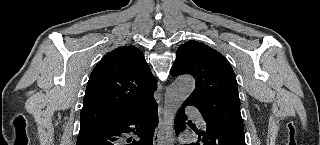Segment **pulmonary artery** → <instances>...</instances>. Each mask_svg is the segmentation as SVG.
<instances>
[{
	"instance_id": "obj_1",
	"label": "pulmonary artery",
	"mask_w": 320,
	"mask_h": 145,
	"mask_svg": "<svg viewBox=\"0 0 320 145\" xmlns=\"http://www.w3.org/2000/svg\"><path fill=\"white\" fill-rule=\"evenodd\" d=\"M186 113L190 115L200 126L205 127V121L197 108L189 107L186 109Z\"/></svg>"
}]
</instances>
